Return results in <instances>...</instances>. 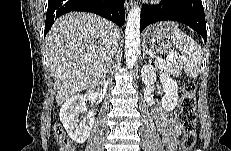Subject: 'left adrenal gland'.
Listing matches in <instances>:
<instances>
[{"instance_id":"left-adrenal-gland-1","label":"left adrenal gland","mask_w":231,"mask_h":151,"mask_svg":"<svg viewBox=\"0 0 231 151\" xmlns=\"http://www.w3.org/2000/svg\"><path fill=\"white\" fill-rule=\"evenodd\" d=\"M145 57V53L143 54V58Z\"/></svg>"}]
</instances>
